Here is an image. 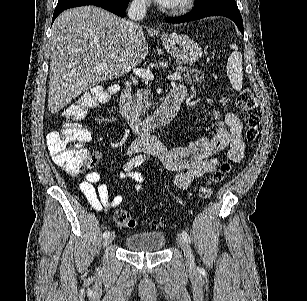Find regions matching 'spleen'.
Returning a JSON list of instances; mask_svg holds the SVG:
<instances>
[{"mask_svg": "<svg viewBox=\"0 0 307 301\" xmlns=\"http://www.w3.org/2000/svg\"><path fill=\"white\" fill-rule=\"evenodd\" d=\"M231 48L233 50L228 56L227 74L232 88L241 90L243 84L242 54L239 52L237 44H231Z\"/></svg>", "mask_w": 307, "mask_h": 301, "instance_id": "3e777b00", "label": "spleen"}]
</instances>
